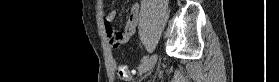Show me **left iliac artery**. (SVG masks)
I'll return each instance as SVG.
<instances>
[{"mask_svg":"<svg viewBox=\"0 0 279 82\" xmlns=\"http://www.w3.org/2000/svg\"><path fill=\"white\" fill-rule=\"evenodd\" d=\"M148 59V56L145 55L143 58H142V62L146 61Z\"/></svg>","mask_w":279,"mask_h":82,"instance_id":"obj_1","label":"left iliac artery"}]
</instances>
